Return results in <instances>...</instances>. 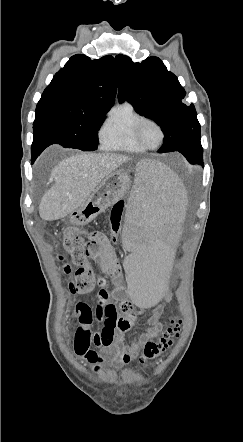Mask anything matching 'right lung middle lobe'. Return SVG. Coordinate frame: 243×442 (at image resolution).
Listing matches in <instances>:
<instances>
[{
    "label": "right lung middle lobe",
    "mask_w": 243,
    "mask_h": 442,
    "mask_svg": "<svg viewBox=\"0 0 243 442\" xmlns=\"http://www.w3.org/2000/svg\"><path fill=\"white\" fill-rule=\"evenodd\" d=\"M35 114L34 146L60 144L83 151L97 149L96 132L106 111H81L59 101L39 100Z\"/></svg>",
    "instance_id": "dd1d6c3e"
}]
</instances>
